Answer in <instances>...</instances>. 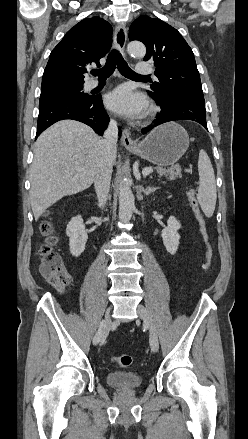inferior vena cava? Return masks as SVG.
Listing matches in <instances>:
<instances>
[{
	"label": "inferior vena cava",
	"instance_id": "inferior-vena-cava-1",
	"mask_svg": "<svg viewBox=\"0 0 248 439\" xmlns=\"http://www.w3.org/2000/svg\"><path fill=\"white\" fill-rule=\"evenodd\" d=\"M117 139V123L111 120L104 132V139L102 140V148L104 152L103 161L99 164L94 177V186L100 208H104L108 199L113 166L112 157L113 153L116 151Z\"/></svg>",
	"mask_w": 248,
	"mask_h": 439
}]
</instances>
